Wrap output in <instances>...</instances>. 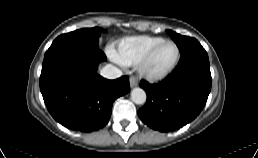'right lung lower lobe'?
<instances>
[{
  "label": "right lung lower lobe",
  "mask_w": 258,
  "mask_h": 158,
  "mask_svg": "<svg viewBox=\"0 0 258 158\" xmlns=\"http://www.w3.org/2000/svg\"><path fill=\"white\" fill-rule=\"evenodd\" d=\"M104 60L98 47L88 45H59L45 53L40 90L48 111L63 126L83 132L104 127L114 100L129 92L127 76L107 80L96 73Z\"/></svg>",
  "instance_id": "98d812e1"
}]
</instances>
